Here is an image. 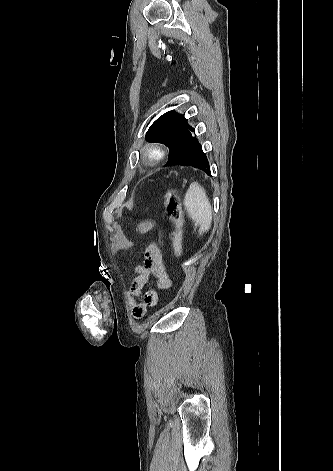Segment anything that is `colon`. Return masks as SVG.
I'll return each instance as SVG.
<instances>
[{
  "instance_id": "colon-1",
  "label": "colon",
  "mask_w": 333,
  "mask_h": 471,
  "mask_svg": "<svg viewBox=\"0 0 333 471\" xmlns=\"http://www.w3.org/2000/svg\"><path fill=\"white\" fill-rule=\"evenodd\" d=\"M165 206L169 219L173 222L175 230L172 234V247L175 259L181 258L183 251L184 216L180 198L174 189H168L164 196Z\"/></svg>"
}]
</instances>
